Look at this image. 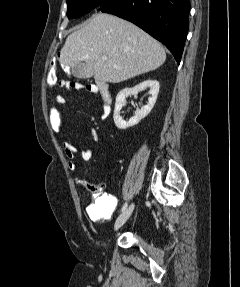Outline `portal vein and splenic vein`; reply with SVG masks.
<instances>
[{
  "label": "portal vein and splenic vein",
  "instance_id": "1",
  "mask_svg": "<svg viewBox=\"0 0 240 287\" xmlns=\"http://www.w3.org/2000/svg\"><path fill=\"white\" fill-rule=\"evenodd\" d=\"M102 59H103V60H107L108 57H107L106 55H103V56H102Z\"/></svg>",
  "mask_w": 240,
  "mask_h": 287
}]
</instances>
